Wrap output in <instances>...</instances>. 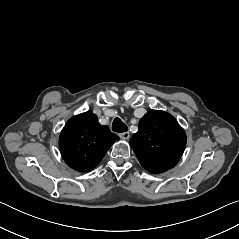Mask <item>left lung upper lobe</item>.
<instances>
[{
	"label": "left lung upper lobe",
	"mask_w": 239,
	"mask_h": 239,
	"mask_svg": "<svg viewBox=\"0 0 239 239\" xmlns=\"http://www.w3.org/2000/svg\"><path fill=\"white\" fill-rule=\"evenodd\" d=\"M141 165L157 174L173 168L180 160L186 134L167 112L149 110L139 121L138 132L129 141Z\"/></svg>",
	"instance_id": "1"
}]
</instances>
